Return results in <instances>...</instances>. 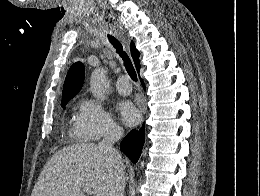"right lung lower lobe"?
I'll use <instances>...</instances> for the list:
<instances>
[{
  "label": "right lung lower lobe",
  "instance_id": "right-lung-lower-lobe-1",
  "mask_svg": "<svg viewBox=\"0 0 260 196\" xmlns=\"http://www.w3.org/2000/svg\"><path fill=\"white\" fill-rule=\"evenodd\" d=\"M141 83L145 89V85L141 80ZM145 130L144 125L139 131L132 130L122 140L120 148L121 151L133 162L136 163L141 155V151L144 145Z\"/></svg>",
  "mask_w": 260,
  "mask_h": 196
}]
</instances>
